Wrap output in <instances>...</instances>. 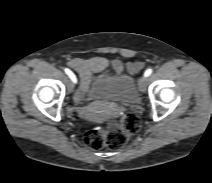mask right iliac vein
Instances as JSON below:
<instances>
[{
  "label": "right iliac vein",
  "instance_id": "right-iliac-vein-1",
  "mask_svg": "<svg viewBox=\"0 0 212 183\" xmlns=\"http://www.w3.org/2000/svg\"><path fill=\"white\" fill-rule=\"evenodd\" d=\"M73 87H74V85H73V84H70V85H69V89H70V90H72V89H73ZM75 98H76V95H75Z\"/></svg>",
  "mask_w": 212,
  "mask_h": 183
}]
</instances>
